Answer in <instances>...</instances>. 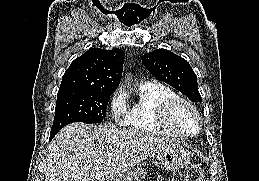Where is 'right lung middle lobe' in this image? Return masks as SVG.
<instances>
[{"label": "right lung middle lobe", "instance_id": "1", "mask_svg": "<svg viewBox=\"0 0 259 181\" xmlns=\"http://www.w3.org/2000/svg\"><path fill=\"white\" fill-rule=\"evenodd\" d=\"M112 94L113 92L94 90L59 89L50 137H54L62 127L73 122H102Z\"/></svg>", "mask_w": 259, "mask_h": 181}]
</instances>
